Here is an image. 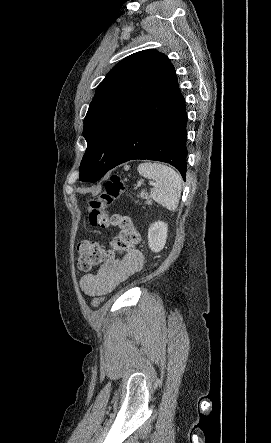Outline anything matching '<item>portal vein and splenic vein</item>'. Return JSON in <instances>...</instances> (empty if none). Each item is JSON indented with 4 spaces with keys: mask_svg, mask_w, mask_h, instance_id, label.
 <instances>
[{
    "mask_svg": "<svg viewBox=\"0 0 271 443\" xmlns=\"http://www.w3.org/2000/svg\"><path fill=\"white\" fill-rule=\"evenodd\" d=\"M150 186H154L153 182H150Z\"/></svg>",
    "mask_w": 271,
    "mask_h": 443,
    "instance_id": "18ae733b",
    "label": "portal vein and splenic vein"
}]
</instances>
